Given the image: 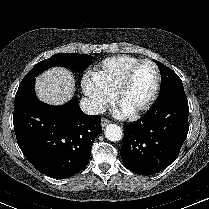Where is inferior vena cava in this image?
I'll list each match as a JSON object with an SVG mask.
<instances>
[{
  "label": "inferior vena cava",
  "instance_id": "1",
  "mask_svg": "<svg viewBox=\"0 0 209 209\" xmlns=\"http://www.w3.org/2000/svg\"><path fill=\"white\" fill-rule=\"evenodd\" d=\"M80 107L88 115L103 114L106 111L105 106L101 102L86 97L80 100Z\"/></svg>",
  "mask_w": 209,
  "mask_h": 209
}]
</instances>
